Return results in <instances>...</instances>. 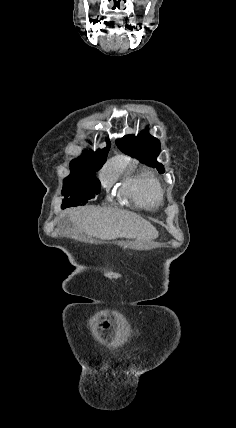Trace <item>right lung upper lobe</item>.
I'll return each instance as SVG.
<instances>
[{"label":"right lung upper lobe","mask_w":236,"mask_h":428,"mask_svg":"<svg viewBox=\"0 0 236 428\" xmlns=\"http://www.w3.org/2000/svg\"><path fill=\"white\" fill-rule=\"evenodd\" d=\"M110 143L96 152L84 151L83 154L70 162V168L100 169L108 154Z\"/></svg>","instance_id":"right-lung-upper-lobe-1"}]
</instances>
